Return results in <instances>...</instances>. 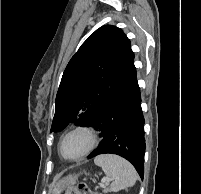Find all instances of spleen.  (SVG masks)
<instances>
[{
    "label": "spleen",
    "instance_id": "obj_1",
    "mask_svg": "<svg viewBox=\"0 0 201 194\" xmlns=\"http://www.w3.org/2000/svg\"><path fill=\"white\" fill-rule=\"evenodd\" d=\"M94 163L102 168L107 177L111 178L112 191L118 192L135 185L137 173L125 159L117 155L103 154L97 156Z\"/></svg>",
    "mask_w": 201,
    "mask_h": 194
}]
</instances>
